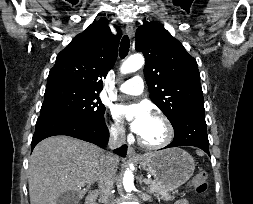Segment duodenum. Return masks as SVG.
Segmentation results:
<instances>
[{"mask_svg": "<svg viewBox=\"0 0 253 204\" xmlns=\"http://www.w3.org/2000/svg\"><path fill=\"white\" fill-rule=\"evenodd\" d=\"M98 193L91 192L86 198L85 204H97Z\"/></svg>", "mask_w": 253, "mask_h": 204, "instance_id": "obj_1", "label": "duodenum"}]
</instances>
